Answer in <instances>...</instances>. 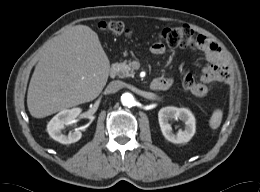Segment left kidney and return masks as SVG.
Returning a JSON list of instances; mask_svg holds the SVG:
<instances>
[{"instance_id": "left-kidney-1", "label": "left kidney", "mask_w": 260, "mask_h": 192, "mask_svg": "<svg viewBox=\"0 0 260 192\" xmlns=\"http://www.w3.org/2000/svg\"><path fill=\"white\" fill-rule=\"evenodd\" d=\"M172 119L183 121L185 124L184 130H179L178 133L175 134L169 124V121ZM158 120L164 137L172 143H186L195 134V117L192 112L186 108L173 106L161 108L158 112Z\"/></svg>"}]
</instances>
